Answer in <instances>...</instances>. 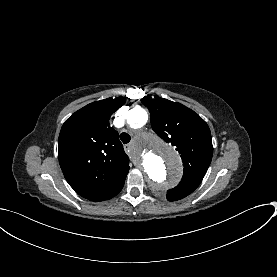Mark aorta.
I'll return each mask as SVG.
<instances>
[{
	"mask_svg": "<svg viewBox=\"0 0 277 277\" xmlns=\"http://www.w3.org/2000/svg\"><path fill=\"white\" fill-rule=\"evenodd\" d=\"M148 120L147 112L135 107L127 113L132 128H140ZM138 163L155 190L175 183L182 174V162L176 150L154 134L143 137L138 150Z\"/></svg>",
	"mask_w": 277,
	"mask_h": 277,
	"instance_id": "762f6f07",
	"label": "aorta"
}]
</instances>
